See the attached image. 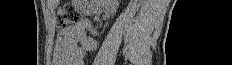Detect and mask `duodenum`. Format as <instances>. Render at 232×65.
<instances>
[{
	"mask_svg": "<svg viewBox=\"0 0 232 65\" xmlns=\"http://www.w3.org/2000/svg\"><path fill=\"white\" fill-rule=\"evenodd\" d=\"M78 6L84 14L88 13V3L87 2L81 1L78 3Z\"/></svg>",
	"mask_w": 232,
	"mask_h": 65,
	"instance_id": "1",
	"label": "duodenum"
}]
</instances>
